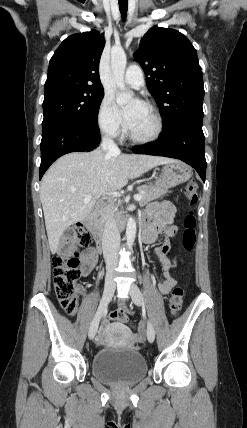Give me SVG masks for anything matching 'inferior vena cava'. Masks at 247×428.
I'll return each instance as SVG.
<instances>
[{"label":"inferior vena cava","instance_id":"602c4592","mask_svg":"<svg viewBox=\"0 0 247 428\" xmlns=\"http://www.w3.org/2000/svg\"><path fill=\"white\" fill-rule=\"evenodd\" d=\"M102 150L108 154H120V150L115 142L109 137L104 136L101 143ZM120 246V234L114 219L112 208H107L105 227L102 236L103 256L106 262V268L112 269L118 263V249Z\"/></svg>","mask_w":247,"mask_h":428}]
</instances>
